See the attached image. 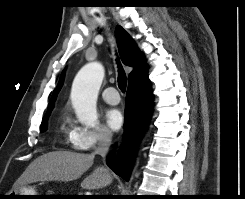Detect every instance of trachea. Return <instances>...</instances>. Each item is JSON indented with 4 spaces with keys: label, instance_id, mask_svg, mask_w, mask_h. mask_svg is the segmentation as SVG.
I'll list each match as a JSON object with an SVG mask.
<instances>
[{
    "label": "trachea",
    "instance_id": "3493384b",
    "mask_svg": "<svg viewBox=\"0 0 245 199\" xmlns=\"http://www.w3.org/2000/svg\"><path fill=\"white\" fill-rule=\"evenodd\" d=\"M117 63H118V67H119V74H118V86L119 89L122 92H125L126 90V85H127V79H126V74L121 66V63L119 61V59H117Z\"/></svg>",
    "mask_w": 245,
    "mask_h": 199
}]
</instances>
